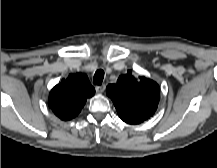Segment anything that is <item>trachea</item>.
Returning a JSON list of instances; mask_svg holds the SVG:
<instances>
[{
  "instance_id": "3493384b",
  "label": "trachea",
  "mask_w": 217,
  "mask_h": 168,
  "mask_svg": "<svg viewBox=\"0 0 217 168\" xmlns=\"http://www.w3.org/2000/svg\"><path fill=\"white\" fill-rule=\"evenodd\" d=\"M103 79H104V71L101 69L97 70L94 74L93 83L95 85H101Z\"/></svg>"
}]
</instances>
